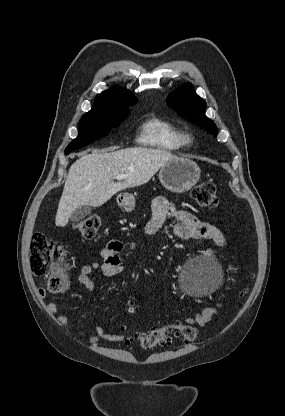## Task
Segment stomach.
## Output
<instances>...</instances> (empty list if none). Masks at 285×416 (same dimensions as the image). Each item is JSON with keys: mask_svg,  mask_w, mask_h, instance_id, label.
Segmentation results:
<instances>
[{"mask_svg": "<svg viewBox=\"0 0 285 416\" xmlns=\"http://www.w3.org/2000/svg\"><path fill=\"white\" fill-rule=\"evenodd\" d=\"M200 178V168L193 160L187 158H178V160H171L162 166L159 172V180L170 192H188ZM121 198V200H120ZM120 206L125 208L126 212H131L135 208V198L130 194H122L119 196Z\"/></svg>", "mask_w": 285, "mask_h": 416, "instance_id": "stomach-1", "label": "stomach"}]
</instances>
